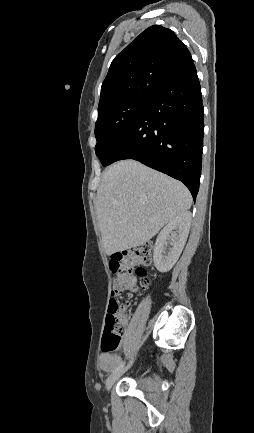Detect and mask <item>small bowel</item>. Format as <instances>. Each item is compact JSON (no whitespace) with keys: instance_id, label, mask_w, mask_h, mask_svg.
Instances as JSON below:
<instances>
[{"instance_id":"obj_1","label":"small bowel","mask_w":254,"mask_h":433,"mask_svg":"<svg viewBox=\"0 0 254 433\" xmlns=\"http://www.w3.org/2000/svg\"><path fill=\"white\" fill-rule=\"evenodd\" d=\"M120 363V357L104 353L100 357L99 366L103 371H110L115 369Z\"/></svg>"}]
</instances>
